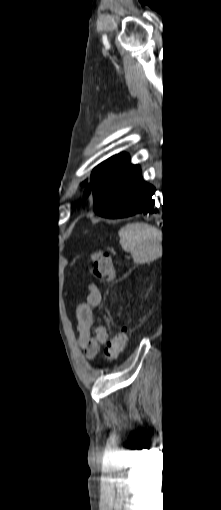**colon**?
Wrapping results in <instances>:
<instances>
[{
    "mask_svg": "<svg viewBox=\"0 0 221 510\" xmlns=\"http://www.w3.org/2000/svg\"><path fill=\"white\" fill-rule=\"evenodd\" d=\"M92 273L100 280H112L114 276L113 262L105 252H97L91 256ZM129 338L128 330L115 334L107 343L105 354L109 361L115 360L126 348Z\"/></svg>",
    "mask_w": 221,
    "mask_h": 510,
    "instance_id": "colon-1",
    "label": "colon"
}]
</instances>
